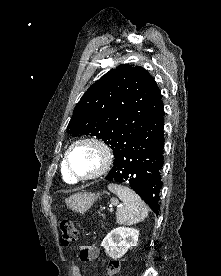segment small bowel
Masks as SVG:
<instances>
[{"mask_svg":"<svg viewBox=\"0 0 221 276\" xmlns=\"http://www.w3.org/2000/svg\"><path fill=\"white\" fill-rule=\"evenodd\" d=\"M99 257L97 249L92 245H84L80 247V261H93ZM72 276H83L79 266L74 263L71 267Z\"/></svg>","mask_w":221,"mask_h":276,"instance_id":"1","label":"small bowel"}]
</instances>
